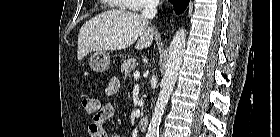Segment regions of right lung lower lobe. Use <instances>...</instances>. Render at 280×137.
I'll use <instances>...</instances> for the list:
<instances>
[{"instance_id": "1", "label": "right lung lower lobe", "mask_w": 280, "mask_h": 137, "mask_svg": "<svg viewBox=\"0 0 280 137\" xmlns=\"http://www.w3.org/2000/svg\"><path fill=\"white\" fill-rule=\"evenodd\" d=\"M169 1L173 3L176 13L179 14L186 9L190 0H169Z\"/></svg>"}]
</instances>
